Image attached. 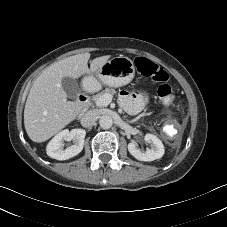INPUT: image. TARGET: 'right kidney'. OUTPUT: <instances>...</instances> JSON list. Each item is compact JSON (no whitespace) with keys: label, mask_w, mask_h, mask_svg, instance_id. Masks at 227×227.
Returning a JSON list of instances; mask_svg holds the SVG:
<instances>
[{"label":"right kidney","mask_w":227,"mask_h":227,"mask_svg":"<svg viewBox=\"0 0 227 227\" xmlns=\"http://www.w3.org/2000/svg\"><path fill=\"white\" fill-rule=\"evenodd\" d=\"M86 131L84 129H65L55 135L48 143L46 151L47 155L57 160H67L78 155L84 146ZM75 141V144L63 149V141Z\"/></svg>","instance_id":"1"}]
</instances>
